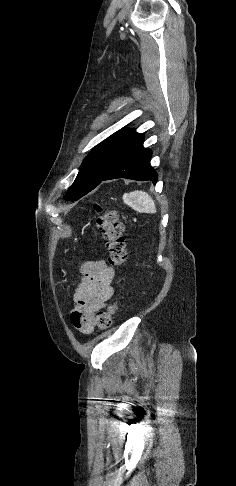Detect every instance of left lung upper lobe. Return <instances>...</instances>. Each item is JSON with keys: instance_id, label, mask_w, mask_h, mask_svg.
<instances>
[{"instance_id": "5c2ea615", "label": "left lung upper lobe", "mask_w": 236, "mask_h": 486, "mask_svg": "<svg viewBox=\"0 0 236 486\" xmlns=\"http://www.w3.org/2000/svg\"><path fill=\"white\" fill-rule=\"evenodd\" d=\"M140 136L136 131L126 129L111 135L95 147L84 159L64 199L78 200L98 186Z\"/></svg>"}]
</instances>
